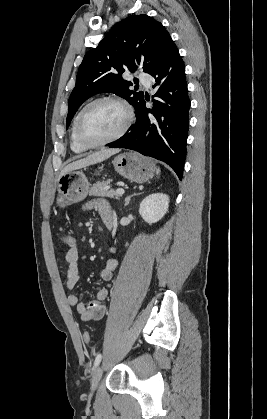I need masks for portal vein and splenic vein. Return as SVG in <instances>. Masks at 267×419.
<instances>
[{
  "label": "portal vein and splenic vein",
  "instance_id": "18ae733b",
  "mask_svg": "<svg viewBox=\"0 0 267 419\" xmlns=\"http://www.w3.org/2000/svg\"><path fill=\"white\" fill-rule=\"evenodd\" d=\"M115 192H116V194H118V195H123L125 191H124V189L119 188V189H117Z\"/></svg>",
  "mask_w": 267,
  "mask_h": 419
}]
</instances>
